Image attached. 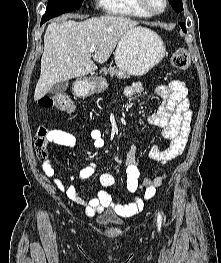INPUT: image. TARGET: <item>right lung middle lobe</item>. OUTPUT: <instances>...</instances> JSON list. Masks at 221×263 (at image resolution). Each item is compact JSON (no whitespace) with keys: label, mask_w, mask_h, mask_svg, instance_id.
<instances>
[{"label":"right lung middle lobe","mask_w":221,"mask_h":263,"mask_svg":"<svg viewBox=\"0 0 221 263\" xmlns=\"http://www.w3.org/2000/svg\"><path fill=\"white\" fill-rule=\"evenodd\" d=\"M83 0H48L42 20H49L66 12L79 9Z\"/></svg>","instance_id":"obj_1"}]
</instances>
